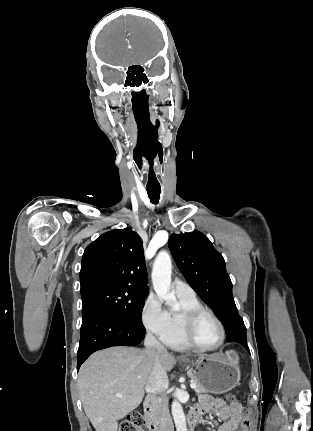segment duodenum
I'll return each mask as SVG.
<instances>
[{"label":"duodenum","mask_w":313,"mask_h":431,"mask_svg":"<svg viewBox=\"0 0 313 431\" xmlns=\"http://www.w3.org/2000/svg\"><path fill=\"white\" fill-rule=\"evenodd\" d=\"M145 413L150 431H168L163 423V419L158 412L157 399L154 395H149L145 401ZM198 421L194 413H190L188 424L190 431L194 429Z\"/></svg>","instance_id":"duodenum-1"}]
</instances>
